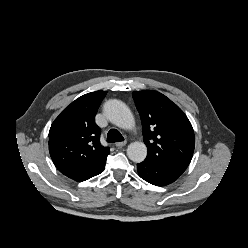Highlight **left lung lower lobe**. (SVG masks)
<instances>
[{
  "instance_id": "obj_1",
  "label": "left lung lower lobe",
  "mask_w": 248,
  "mask_h": 248,
  "mask_svg": "<svg viewBox=\"0 0 248 248\" xmlns=\"http://www.w3.org/2000/svg\"><path fill=\"white\" fill-rule=\"evenodd\" d=\"M137 169L141 178L156 186H166L171 184L184 172L176 168L163 166L148 159L138 163Z\"/></svg>"
}]
</instances>
